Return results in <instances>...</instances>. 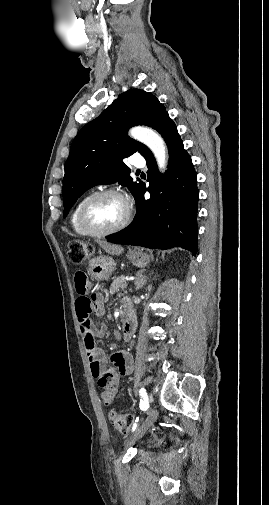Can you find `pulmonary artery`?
Returning <instances> with one entry per match:
<instances>
[{
	"instance_id": "1",
	"label": "pulmonary artery",
	"mask_w": 269,
	"mask_h": 505,
	"mask_svg": "<svg viewBox=\"0 0 269 505\" xmlns=\"http://www.w3.org/2000/svg\"><path fill=\"white\" fill-rule=\"evenodd\" d=\"M132 165L135 166V167H137V168H143L145 166V161L142 158L135 157L132 160Z\"/></svg>"
}]
</instances>
